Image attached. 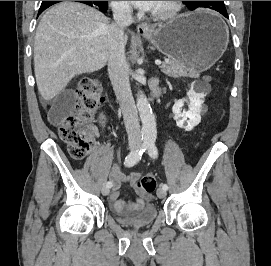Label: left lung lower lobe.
I'll use <instances>...</instances> for the list:
<instances>
[{
    "label": "left lung lower lobe",
    "mask_w": 271,
    "mask_h": 266,
    "mask_svg": "<svg viewBox=\"0 0 271 266\" xmlns=\"http://www.w3.org/2000/svg\"><path fill=\"white\" fill-rule=\"evenodd\" d=\"M220 13H221L224 17L228 18L227 11H221Z\"/></svg>",
    "instance_id": "0a47b994"
}]
</instances>
